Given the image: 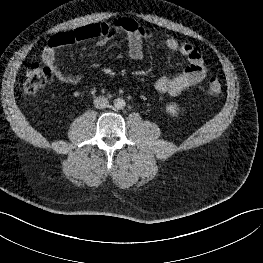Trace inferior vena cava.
Listing matches in <instances>:
<instances>
[{
	"label": "inferior vena cava",
	"instance_id": "602c4592",
	"mask_svg": "<svg viewBox=\"0 0 263 263\" xmlns=\"http://www.w3.org/2000/svg\"><path fill=\"white\" fill-rule=\"evenodd\" d=\"M94 106L98 109H103L109 106V101L106 97L99 96L95 98Z\"/></svg>",
	"mask_w": 263,
	"mask_h": 263
}]
</instances>
